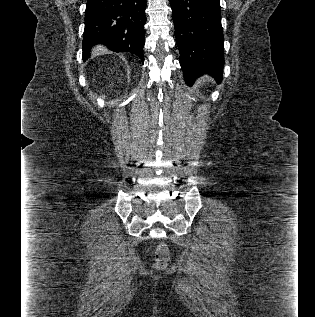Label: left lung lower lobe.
I'll use <instances>...</instances> for the list:
<instances>
[{"label":"left lung lower lobe","instance_id":"0a47b994","mask_svg":"<svg viewBox=\"0 0 315 317\" xmlns=\"http://www.w3.org/2000/svg\"><path fill=\"white\" fill-rule=\"evenodd\" d=\"M180 65L188 85L210 74L218 83L224 65L220 0H170Z\"/></svg>","mask_w":315,"mask_h":317}]
</instances>
